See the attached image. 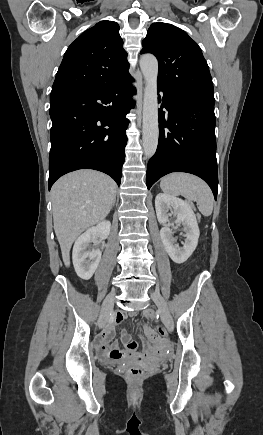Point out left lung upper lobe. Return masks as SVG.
I'll return each mask as SVG.
<instances>
[{
  "label": "left lung upper lobe",
  "mask_w": 263,
  "mask_h": 435,
  "mask_svg": "<svg viewBox=\"0 0 263 435\" xmlns=\"http://www.w3.org/2000/svg\"><path fill=\"white\" fill-rule=\"evenodd\" d=\"M143 53L158 59V85L175 93L215 103L213 82L197 43L167 23H153L143 40Z\"/></svg>",
  "instance_id": "1"
}]
</instances>
